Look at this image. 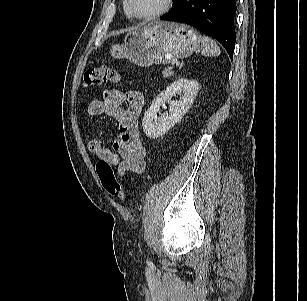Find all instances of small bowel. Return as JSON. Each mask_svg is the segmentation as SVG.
I'll list each match as a JSON object with an SVG mask.
<instances>
[{
    "mask_svg": "<svg viewBox=\"0 0 307 301\" xmlns=\"http://www.w3.org/2000/svg\"><path fill=\"white\" fill-rule=\"evenodd\" d=\"M143 106L144 97L139 91L123 92L117 89L106 90L102 99H93L88 106L90 116L108 115L119 124V136L113 143V150L104 146L99 139L88 142L90 153L109 162L119 176L145 171L146 150L138 129Z\"/></svg>",
    "mask_w": 307,
    "mask_h": 301,
    "instance_id": "small-bowel-1",
    "label": "small bowel"
}]
</instances>
